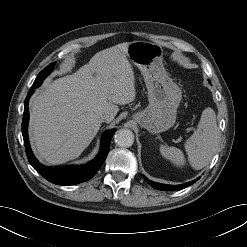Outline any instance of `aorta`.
I'll return each instance as SVG.
<instances>
[{"label": "aorta", "mask_w": 247, "mask_h": 247, "mask_svg": "<svg viewBox=\"0 0 247 247\" xmlns=\"http://www.w3.org/2000/svg\"><path fill=\"white\" fill-rule=\"evenodd\" d=\"M114 140L119 147L127 148L132 146L134 143V134L129 129H119L114 135Z\"/></svg>", "instance_id": "aorta-1"}]
</instances>
